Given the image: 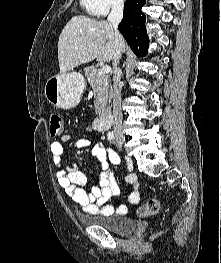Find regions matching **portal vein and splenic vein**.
Returning a JSON list of instances; mask_svg holds the SVG:
<instances>
[{"mask_svg": "<svg viewBox=\"0 0 221 263\" xmlns=\"http://www.w3.org/2000/svg\"><path fill=\"white\" fill-rule=\"evenodd\" d=\"M111 71V67L108 65H104L99 71L97 76H101V75H106L108 73H110Z\"/></svg>", "mask_w": 221, "mask_h": 263, "instance_id": "1", "label": "portal vein and splenic vein"}]
</instances>
